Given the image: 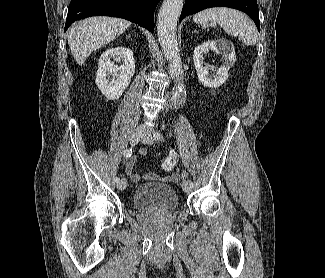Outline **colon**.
I'll list each match as a JSON object with an SVG mask.
<instances>
[{
	"instance_id": "colon-1",
	"label": "colon",
	"mask_w": 325,
	"mask_h": 278,
	"mask_svg": "<svg viewBox=\"0 0 325 278\" xmlns=\"http://www.w3.org/2000/svg\"><path fill=\"white\" fill-rule=\"evenodd\" d=\"M178 162V156L175 152H171L163 161L161 164L162 169L165 172H171L176 167V164Z\"/></svg>"
}]
</instances>
